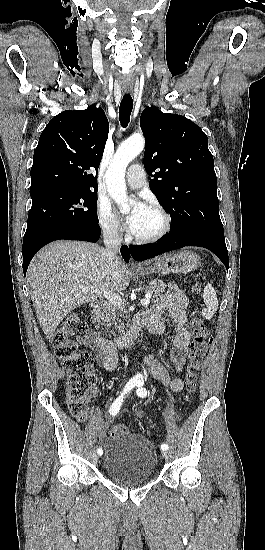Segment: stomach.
Instances as JSON below:
<instances>
[{"label": "stomach", "instance_id": "obj_1", "mask_svg": "<svg viewBox=\"0 0 265 550\" xmlns=\"http://www.w3.org/2000/svg\"><path fill=\"white\" fill-rule=\"evenodd\" d=\"M200 264L199 256L192 251H180L162 256L151 267L137 271L139 275H149L154 272L166 274H187L194 271Z\"/></svg>", "mask_w": 265, "mask_h": 550}]
</instances>
